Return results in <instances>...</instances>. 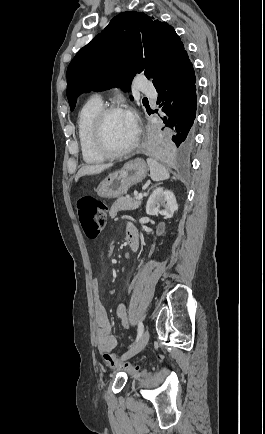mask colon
<instances>
[{
    "instance_id": "colon-1",
    "label": "colon",
    "mask_w": 265,
    "mask_h": 434,
    "mask_svg": "<svg viewBox=\"0 0 265 434\" xmlns=\"http://www.w3.org/2000/svg\"><path fill=\"white\" fill-rule=\"evenodd\" d=\"M75 208L78 213L80 225L83 231L84 236L89 240L96 239L100 231L103 228V225L106 220V210L105 205L93 197H85L79 199L75 203ZM105 362L107 365H111L115 362H120V357H114L110 354H105ZM127 364H122L121 368L125 370H131L129 365L132 364L131 360L126 362ZM114 369H119V364L113 365ZM136 370V369H133Z\"/></svg>"
}]
</instances>
